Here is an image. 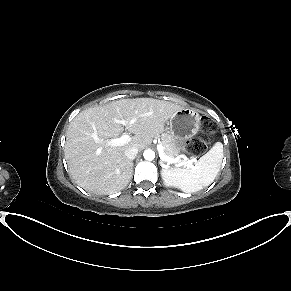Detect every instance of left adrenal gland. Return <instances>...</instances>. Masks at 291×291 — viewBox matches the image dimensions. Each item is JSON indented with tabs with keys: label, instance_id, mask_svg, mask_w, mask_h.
I'll use <instances>...</instances> for the list:
<instances>
[{
	"label": "left adrenal gland",
	"instance_id": "left-adrenal-gland-1",
	"mask_svg": "<svg viewBox=\"0 0 291 291\" xmlns=\"http://www.w3.org/2000/svg\"><path fill=\"white\" fill-rule=\"evenodd\" d=\"M160 165H161L162 167H164V163H163L162 160H160Z\"/></svg>",
	"mask_w": 291,
	"mask_h": 291
}]
</instances>
